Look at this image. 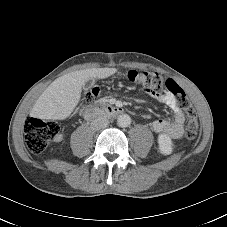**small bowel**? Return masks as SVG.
Listing matches in <instances>:
<instances>
[{"instance_id": "obj_1", "label": "small bowel", "mask_w": 227, "mask_h": 227, "mask_svg": "<svg viewBox=\"0 0 227 227\" xmlns=\"http://www.w3.org/2000/svg\"><path fill=\"white\" fill-rule=\"evenodd\" d=\"M146 96L156 98L160 103L168 106L174 113L173 120L157 119L152 122V130L156 133L166 134L172 138H179L184 132L185 115L178 107L175 97L167 89L157 90L146 89ZM57 141L61 140V135L56 137Z\"/></svg>"}]
</instances>
